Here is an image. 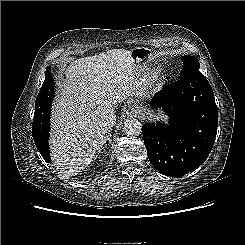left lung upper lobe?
I'll return each mask as SVG.
<instances>
[{
	"label": "left lung upper lobe",
	"mask_w": 245,
	"mask_h": 245,
	"mask_svg": "<svg viewBox=\"0 0 245 245\" xmlns=\"http://www.w3.org/2000/svg\"><path fill=\"white\" fill-rule=\"evenodd\" d=\"M181 59L184 63V66H183L182 72L179 76V79L184 77L185 75H188V74L201 73L199 71L200 64H199L197 58H195L193 56H189V55H184L181 57Z\"/></svg>",
	"instance_id": "5c2ea615"
}]
</instances>
